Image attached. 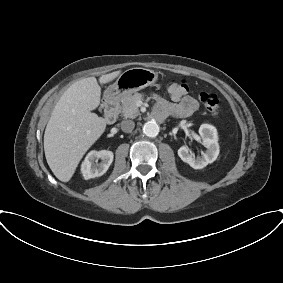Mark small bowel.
<instances>
[{"label": "small bowel", "instance_id": "obj_1", "mask_svg": "<svg viewBox=\"0 0 283 283\" xmlns=\"http://www.w3.org/2000/svg\"><path fill=\"white\" fill-rule=\"evenodd\" d=\"M174 103L161 101L155 108L156 114L164 117L167 114H174L180 117L191 116L198 108L197 100L190 95L173 98Z\"/></svg>", "mask_w": 283, "mask_h": 283}]
</instances>
